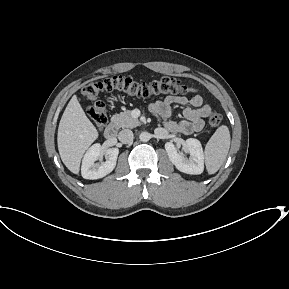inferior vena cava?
Masks as SVG:
<instances>
[{"instance_id": "602c4592", "label": "inferior vena cava", "mask_w": 289, "mask_h": 289, "mask_svg": "<svg viewBox=\"0 0 289 289\" xmlns=\"http://www.w3.org/2000/svg\"><path fill=\"white\" fill-rule=\"evenodd\" d=\"M118 139L122 143H130L133 140V132L129 129H124L119 132Z\"/></svg>"}]
</instances>
